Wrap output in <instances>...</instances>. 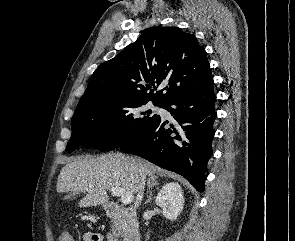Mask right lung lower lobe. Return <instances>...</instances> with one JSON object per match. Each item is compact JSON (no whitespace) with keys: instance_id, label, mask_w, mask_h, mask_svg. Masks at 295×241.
Segmentation results:
<instances>
[{"instance_id":"1","label":"right lung lower lobe","mask_w":295,"mask_h":241,"mask_svg":"<svg viewBox=\"0 0 295 241\" xmlns=\"http://www.w3.org/2000/svg\"><path fill=\"white\" fill-rule=\"evenodd\" d=\"M215 102L213 80L178 94L161 105L170 112L172 121L158 116L119 148L184 176L203 192L207 163L213 155Z\"/></svg>"}]
</instances>
